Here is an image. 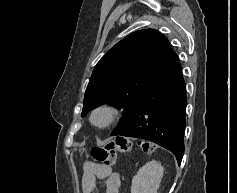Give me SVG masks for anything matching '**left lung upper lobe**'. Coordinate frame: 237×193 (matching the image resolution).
Returning a JSON list of instances; mask_svg holds the SVG:
<instances>
[{
  "mask_svg": "<svg viewBox=\"0 0 237 193\" xmlns=\"http://www.w3.org/2000/svg\"><path fill=\"white\" fill-rule=\"evenodd\" d=\"M176 53L154 29L131 33L113 46L95 66L87 86L82 117L101 104L123 109L111 136L131 121L144 93L170 65Z\"/></svg>",
  "mask_w": 237,
  "mask_h": 193,
  "instance_id": "5c2ea615",
  "label": "left lung upper lobe"
}]
</instances>
